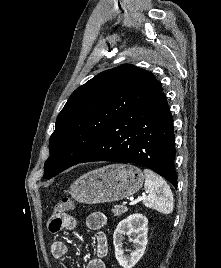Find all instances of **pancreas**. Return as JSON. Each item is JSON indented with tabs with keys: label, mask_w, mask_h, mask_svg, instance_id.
I'll return each instance as SVG.
<instances>
[{
	"label": "pancreas",
	"mask_w": 221,
	"mask_h": 268,
	"mask_svg": "<svg viewBox=\"0 0 221 268\" xmlns=\"http://www.w3.org/2000/svg\"><path fill=\"white\" fill-rule=\"evenodd\" d=\"M126 212H127V208L121 205H116L113 209V213L115 217H120Z\"/></svg>",
	"instance_id": "cf45deb5"
}]
</instances>
